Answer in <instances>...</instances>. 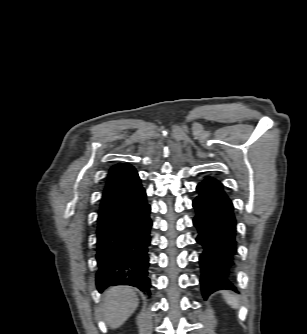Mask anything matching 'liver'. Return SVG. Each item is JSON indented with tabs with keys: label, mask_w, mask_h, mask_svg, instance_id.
<instances>
[{
	"label": "liver",
	"mask_w": 307,
	"mask_h": 334,
	"mask_svg": "<svg viewBox=\"0 0 307 334\" xmlns=\"http://www.w3.org/2000/svg\"><path fill=\"white\" fill-rule=\"evenodd\" d=\"M139 299L135 290L128 286L109 288L104 294L102 313L112 329L119 328L136 310Z\"/></svg>",
	"instance_id": "6515ba94"
}]
</instances>
